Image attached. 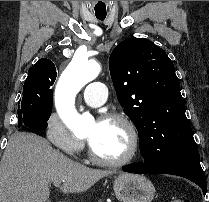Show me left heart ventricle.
Here are the masks:
<instances>
[{
  "mask_svg": "<svg viewBox=\"0 0 209 202\" xmlns=\"http://www.w3.org/2000/svg\"><path fill=\"white\" fill-rule=\"evenodd\" d=\"M95 151L107 159H120L130 149L131 142L126 127L117 121H97L87 132Z\"/></svg>",
  "mask_w": 209,
  "mask_h": 202,
  "instance_id": "b2bd125f",
  "label": "left heart ventricle"
}]
</instances>
